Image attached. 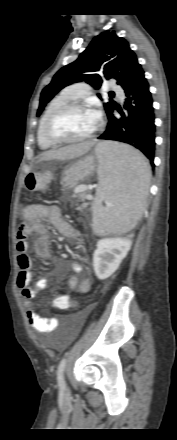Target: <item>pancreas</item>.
<instances>
[{"label": "pancreas", "mask_w": 177, "mask_h": 440, "mask_svg": "<svg viewBox=\"0 0 177 440\" xmlns=\"http://www.w3.org/2000/svg\"><path fill=\"white\" fill-rule=\"evenodd\" d=\"M78 197L81 198V199L83 200V199H85L86 194H84V193H79V194H78ZM86 206H87V204L84 203V204H82V206L78 207V210H82V209L85 208Z\"/></svg>", "instance_id": "cf45deb5"}]
</instances>
